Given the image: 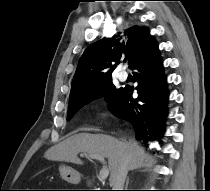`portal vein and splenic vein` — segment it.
<instances>
[{
	"label": "portal vein and splenic vein",
	"mask_w": 210,
	"mask_h": 191,
	"mask_svg": "<svg viewBox=\"0 0 210 191\" xmlns=\"http://www.w3.org/2000/svg\"><path fill=\"white\" fill-rule=\"evenodd\" d=\"M81 156H85L91 159H97V160H100L101 162L105 161L104 157L101 155L81 154ZM108 175H109V168L107 166H103V168L99 172V180L100 181L105 180L108 177Z\"/></svg>",
	"instance_id": "obj_1"
}]
</instances>
